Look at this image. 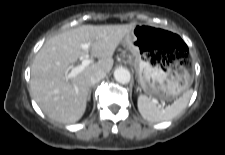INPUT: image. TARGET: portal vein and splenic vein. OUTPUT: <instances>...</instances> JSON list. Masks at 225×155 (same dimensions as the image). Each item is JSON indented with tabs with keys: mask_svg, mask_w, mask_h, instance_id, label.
<instances>
[{
	"mask_svg": "<svg viewBox=\"0 0 225 155\" xmlns=\"http://www.w3.org/2000/svg\"><path fill=\"white\" fill-rule=\"evenodd\" d=\"M90 47H91L90 43H84L81 45V48L85 51H89ZM90 63H92V60H90L88 58H84L80 65L71 68V71L67 77L72 78V77L76 76L77 74L81 73ZM160 107H162V106L160 105Z\"/></svg>",
	"mask_w": 225,
	"mask_h": 155,
	"instance_id": "18ae733b",
	"label": "portal vein and splenic vein"
}]
</instances>
